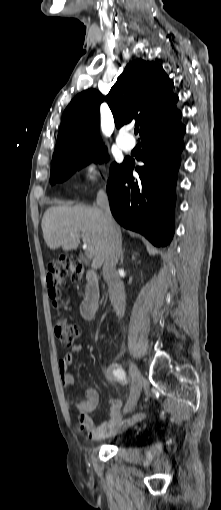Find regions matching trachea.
I'll use <instances>...</instances> for the list:
<instances>
[{"label":"trachea","mask_w":221,"mask_h":510,"mask_svg":"<svg viewBox=\"0 0 221 510\" xmlns=\"http://www.w3.org/2000/svg\"><path fill=\"white\" fill-rule=\"evenodd\" d=\"M138 132H139V128H138V127H136V128L134 129V133H135V135H137V134H138Z\"/></svg>","instance_id":"3493384b"}]
</instances>
